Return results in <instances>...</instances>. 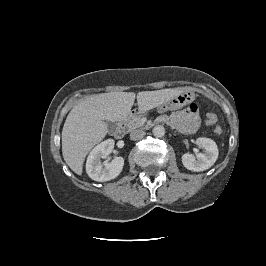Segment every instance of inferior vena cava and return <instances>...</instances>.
<instances>
[{
	"label": "inferior vena cava",
	"instance_id": "obj_1",
	"mask_svg": "<svg viewBox=\"0 0 266 266\" xmlns=\"http://www.w3.org/2000/svg\"><path fill=\"white\" fill-rule=\"evenodd\" d=\"M145 131L141 129L134 130L130 133V139L131 140H140L145 136Z\"/></svg>",
	"mask_w": 266,
	"mask_h": 266
}]
</instances>
